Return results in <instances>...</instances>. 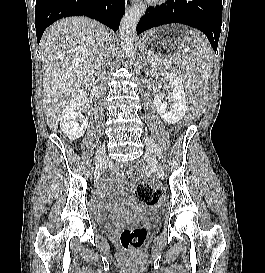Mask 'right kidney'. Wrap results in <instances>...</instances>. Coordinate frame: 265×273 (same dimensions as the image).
I'll use <instances>...</instances> for the list:
<instances>
[{
	"mask_svg": "<svg viewBox=\"0 0 265 273\" xmlns=\"http://www.w3.org/2000/svg\"><path fill=\"white\" fill-rule=\"evenodd\" d=\"M86 102L87 93L81 91L65 106L59 118L62 132L72 141L83 136L88 126V119L79 111Z\"/></svg>",
	"mask_w": 265,
	"mask_h": 273,
	"instance_id": "right-kidney-1",
	"label": "right kidney"
}]
</instances>
